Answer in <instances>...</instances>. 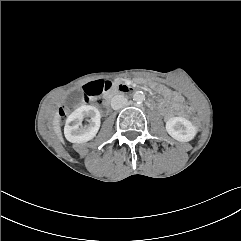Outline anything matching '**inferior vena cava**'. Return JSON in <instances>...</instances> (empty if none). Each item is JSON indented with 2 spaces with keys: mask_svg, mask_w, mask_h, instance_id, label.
<instances>
[{
  "mask_svg": "<svg viewBox=\"0 0 241 241\" xmlns=\"http://www.w3.org/2000/svg\"><path fill=\"white\" fill-rule=\"evenodd\" d=\"M127 105V98L123 95H116L111 99V107L114 110L121 109Z\"/></svg>",
  "mask_w": 241,
  "mask_h": 241,
  "instance_id": "1",
  "label": "inferior vena cava"
}]
</instances>
